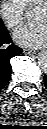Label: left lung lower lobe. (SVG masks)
Returning <instances> with one entry per match:
<instances>
[{"label": "left lung lower lobe", "mask_w": 47, "mask_h": 129, "mask_svg": "<svg viewBox=\"0 0 47 129\" xmlns=\"http://www.w3.org/2000/svg\"><path fill=\"white\" fill-rule=\"evenodd\" d=\"M44 84H45V86L47 88V75L44 77Z\"/></svg>", "instance_id": "obj_1"}]
</instances>
